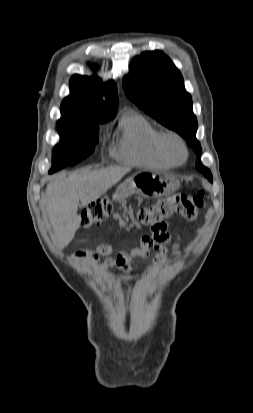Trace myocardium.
Returning <instances> with one entry per match:
<instances>
[{
  "mask_svg": "<svg viewBox=\"0 0 253 413\" xmlns=\"http://www.w3.org/2000/svg\"><path fill=\"white\" fill-rule=\"evenodd\" d=\"M160 144L162 152L174 165H182L186 162L188 158V148L184 139L179 134L171 131L162 133ZM174 146H177L180 149L182 153L181 158L176 157Z\"/></svg>",
  "mask_w": 253,
  "mask_h": 413,
  "instance_id": "myocardium-1",
  "label": "myocardium"
}]
</instances>
